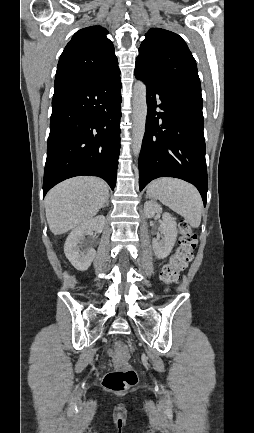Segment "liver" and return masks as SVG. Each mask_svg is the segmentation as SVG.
<instances>
[{"instance_id": "6515ba94", "label": "liver", "mask_w": 254, "mask_h": 433, "mask_svg": "<svg viewBox=\"0 0 254 433\" xmlns=\"http://www.w3.org/2000/svg\"><path fill=\"white\" fill-rule=\"evenodd\" d=\"M108 197L107 184L96 177H75L56 185L45 198L51 232L60 235L91 219Z\"/></svg>"}]
</instances>
